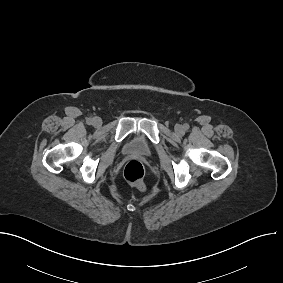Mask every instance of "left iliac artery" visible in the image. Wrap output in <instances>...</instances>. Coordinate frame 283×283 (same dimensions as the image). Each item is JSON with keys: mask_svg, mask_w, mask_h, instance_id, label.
<instances>
[{"mask_svg": "<svg viewBox=\"0 0 283 283\" xmlns=\"http://www.w3.org/2000/svg\"><path fill=\"white\" fill-rule=\"evenodd\" d=\"M189 128L188 124H184V129L187 130Z\"/></svg>", "mask_w": 283, "mask_h": 283, "instance_id": "obj_1", "label": "left iliac artery"}]
</instances>
